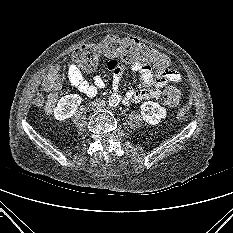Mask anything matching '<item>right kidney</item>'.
<instances>
[{"label":"right kidney","instance_id":"right-kidney-1","mask_svg":"<svg viewBox=\"0 0 233 233\" xmlns=\"http://www.w3.org/2000/svg\"><path fill=\"white\" fill-rule=\"evenodd\" d=\"M82 98L78 94H70L63 96L54 109V117L63 121L70 118L81 104Z\"/></svg>","mask_w":233,"mask_h":233}]
</instances>
